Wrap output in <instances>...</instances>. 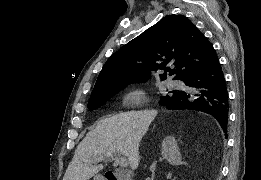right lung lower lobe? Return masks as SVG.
Segmentation results:
<instances>
[{
    "mask_svg": "<svg viewBox=\"0 0 261 180\" xmlns=\"http://www.w3.org/2000/svg\"><path fill=\"white\" fill-rule=\"evenodd\" d=\"M191 92H176L160 104L167 109H191L216 118L227 137L229 97L219 61L188 74L184 80Z\"/></svg>",
    "mask_w": 261,
    "mask_h": 180,
    "instance_id": "obj_1",
    "label": "right lung lower lobe"
}]
</instances>
